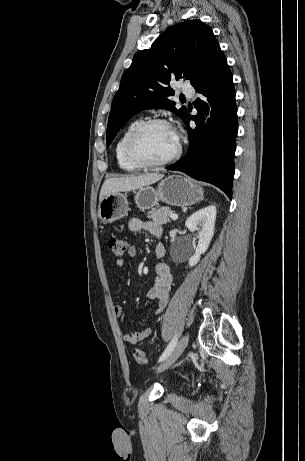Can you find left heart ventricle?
<instances>
[{
  "label": "left heart ventricle",
  "mask_w": 305,
  "mask_h": 461,
  "mask_svg": "<svg viewBox=\"0 0 305 461\" xmlns=\"http://www.w3.org/2000/svg\"><path fill=\"white\" fill-rule=\"evenodd\" d=\"M176 148L177 141L172 129L163 125H154L141 135L137 152L145 160L156 162L172 155Z\"/></svg>",
  "instance_id": "left-heart-ventricle-1"
}]
</instances>
